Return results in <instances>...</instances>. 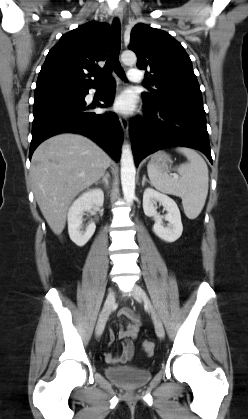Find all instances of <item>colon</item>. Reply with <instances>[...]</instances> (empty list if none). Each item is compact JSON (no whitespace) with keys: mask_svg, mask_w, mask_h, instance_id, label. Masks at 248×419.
Instances as JSON below:
<instances>
[{"mask_svg":"<svg viewBox=\"0 0 248 419\" xmlns=\"http://www.w3.org/2000/svg\"><path fill=\"white\" fill-rule=\"evenodd\" d=\"M142 348L146 353H153L154 351V343L150 340H144L142 343Z\"/></svg>","mask_w":248,"mask_h":419,"instance_id":"5ec220e1","label":"colon"}]
</instances>
